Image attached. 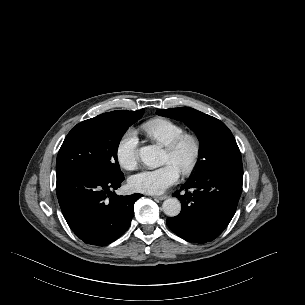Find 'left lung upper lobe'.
I'll use <instances>...</instances> for the list:
<instances>
[{
    "label": "left lung upper lobe",
    "mask_w": 305,
    "mask_h": 305,
    "mask_svg": "<svg viewBox=\"0 0 305 305\" xmlns=\"http://www.w3.org/2000/svg\"><path fill=\"white\" fill-rule=\"evenodd\" d=\"M157 114L183 121L199 137L201 160L191 178L223 163L241 160L234 136L220 120L190 107L157 110Z\"/></svg>",
    "instance_id": "obj_1"
}]
</instances>
